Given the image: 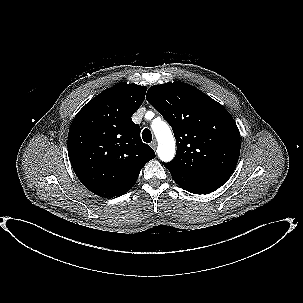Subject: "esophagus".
<instances>
[{
  "label": "esophagus",
  "mask_w": 303,
  "mask_h": 303,
  "mask_svg": "<svg viewBox=\"0 0 303 303\" xmlns=\"http://www.w3.org/2000/svg\"><path fill=\"white\" fill-rule=\"evenodd\" d=\"M151 147H152L154 150L157 148V141H156V140L152 141Z\"/></svg>",
  "instance_id": "34e87169"
}]
</instances>
